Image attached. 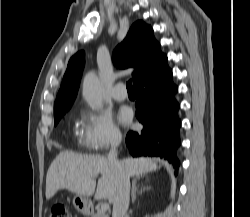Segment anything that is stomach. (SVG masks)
Segmentation results:
<instances>
[{"mask_svg":"<svg viewBox=\"0 0 250 217\" xmlns=\"http://www.w3.org/2000/svg\"><path fill=\"white\" fill-rule=\"evenodd\" d=\"M73 205L78 212L83 215H89L92 211V202L89 197L75 195L73 198Z\"/></svg>","mask_w":250,"mask_h":217,"instance_id":"stomach-1","label":"stomach"}]
</instances>
